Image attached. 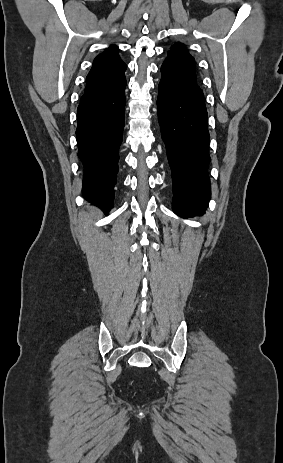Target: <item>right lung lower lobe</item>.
Instances as JSON below:
<instances>
[{
    "mask_svg": "<svg viewBox=\"0 0 283 463\" xmlns=\"http://www.w3.org/2000/svg\"><path fill=\"white\" fill-rule=\"evenodd\" d=\"M125 76L85 91L77 109L78 156L84 166L83 195L106 213L113 205L118 149L123 139Z\"/></svg>",
    "mask_w": 283,
    "mask_h": 463,
    "instance_id": "right-lung-lower-lobe-1",
    "label": "right lung lower lobe"
}]
</instances>
